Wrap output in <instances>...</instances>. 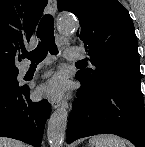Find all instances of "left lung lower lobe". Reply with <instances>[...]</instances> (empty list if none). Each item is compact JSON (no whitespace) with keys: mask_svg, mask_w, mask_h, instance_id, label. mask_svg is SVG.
I'll return each instance as SVG.
<instances>
[{"mask_svg":"<svg viewBox=\"0 0 145 147\" xmlns=\"http://www.w3.org/2000/svg\"><path fill=\"white\" fill-rule=\"evenodd\" d=\"M67 124V143L78 138L111 133L145 147V109L141 74L120 73L99 84L80 78Z\"/></svg>","mask_w":145,"mask_h":147,"instance_id":"1","label":"left lung lower lobe"}]
</instances>
